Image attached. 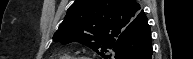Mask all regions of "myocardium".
I'll list each match as a JSON object with an SVG mask.
<instances>
[{"label": "myocardium", "instance_id": "f54148a6", "mask_svg": "<svg viewBox=\"0 0 193 59\" xmlns=\"http://www.w3.org/2000/svg\"><path fill=\"white\" fill-rule=\"evenodd\" d=\"M70 59H92L90 57L82 56V57H76V58H70Z\"/></svg>", "mask_w": 193, "mask_h": 59}]
</instances>
